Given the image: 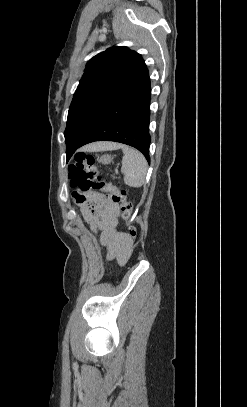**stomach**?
<instances>
[{"label":"stomach","mask_w":247,"mask_h":407,"mask_svg":"<svg viewBox=\"0 0 247 407\" xmlns=\"http://www.w3.org/2000/svg\"><path fill=\"white\" fill-rule=\"evenodd\" d=\"M112 156L111 155H102L101 157H99L97 160L98 162L102 163V164H110L112 161Z\"/></svg>","instance_id":"stomach-1"}]
</instances>
